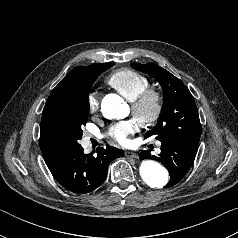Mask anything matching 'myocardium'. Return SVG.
Listing matches in <instances>:
<instances>
[{
	"instance_id": "1",
	"label": "myocardium",
	"mask_w": 238,
	"mask_h": 238,
	"mask_svg": "<svg viewBox=\"0 0 238 238\" xmlns=\"http://www.w3.org/2000/svg\"><path fill=\"white\" fill-rule=\"evenodd\" d=\"M131 102V111L142 127L153 125L160 117L163 109V96L154 88H146Z\"/></svg>"
}]
</instances>
